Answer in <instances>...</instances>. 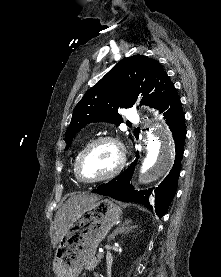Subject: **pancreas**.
Wrapping results in <instances>:
<instances>
[{"label": "pancreas", "mask_w": 221, "mask_h": 277, "mask_svg": "<svg viewBox=\"0 0 221 277\" xmlns=\"http://www.w3.org/2000/svg\"><path fill=\"white\" fill-rule=\"evenodd\" d=\"M99 262H100V257H98V258H93L87 265H86V270H88V271H92V270H94L96 267H97V265L99 264Z\"/></svg>", "instance_id": "cf45deb5"}]
</instances>
